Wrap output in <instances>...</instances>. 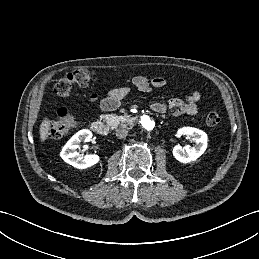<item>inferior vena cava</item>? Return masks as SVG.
I'll list each match as a JSON object with an SVG mask.
<instances>
[{"label":"inferior vena cava","mask_w":259,"mask_h":259,"mask_svg":"<svg viewBox=\"0 0 259 259\" xmlns=\"http://www.w3.org/2000/svg\"><path fill=\"white\" fill-rule=\"evenodd\" d=\"M116 137L121 139V138H125L128 135V130L127 129H117L116 130Z\"/></svg>","instance_id":"inferior-vena-cava-1"}]
</instances>
